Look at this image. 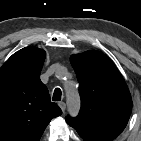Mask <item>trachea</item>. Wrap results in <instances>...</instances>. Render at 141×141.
<instances>
[{
	"instance_id": "trachea-1",
	"label": "trachea",
	"mask_w": 141,
	"mask_h": 141,
	"mask_svg": "<svg viewBox=\"0 0 141 141\" xmlns=\"http://www.w3.org/2000/svg\"><path fill=\"white\" fill-rule=\"evenodd\" d=\"M61 95H62L61 90L59 88H56L54 90L52 100L53 101H60L61 100Z\"/></svg>"
}]
</instances>
